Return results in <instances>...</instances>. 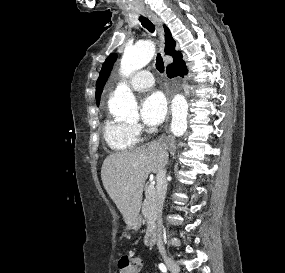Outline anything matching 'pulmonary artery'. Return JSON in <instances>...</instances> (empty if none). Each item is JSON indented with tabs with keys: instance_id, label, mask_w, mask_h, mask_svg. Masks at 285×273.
Wrapping results in <instances>:
<instances>
[{
	"instance_id": "obj_1",
	"label": "pulmonary artery",
	"mask_w": 285,
	"mask_h": 273,
	"mask_svg": "<svg viewBox=\"0 0 285 273\" xmlns=\"http://www.w3.org/2000/svg\"><path fill=\"white\" fill-rule=\"evenodd\" d=\"M154 82V77L151 72L141 70L130 78L129 85L135 90H143L152 87Z\"/></svg>"
}]
</instances>
